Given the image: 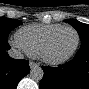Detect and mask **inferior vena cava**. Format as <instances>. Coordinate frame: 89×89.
Segmentation results:
<instances>
[{"label":"inferior vena cava","instance_id":"1","mask_svg":"<svg viewBox=\"0 0 89 89\" xmlns=\"http://www.w3.org/2000/svg\"><path fill=\"white\" fill-rule=\"evenodd\" d=\"M8 54L11 58H14V59H23L24 58V55L17 49H10L8 51Z\"/></svg>","mask_w":89,"mask_h":89}]
</instances>
